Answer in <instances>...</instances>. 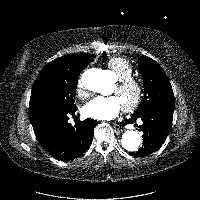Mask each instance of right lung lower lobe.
Listing matches in <instances>:
<instances>
[{"mask_svg":"<svg viewBox=\"0 0 200 200\" xmlns=\"http://www.w3.org/2000/svg\"><path fill=\"white\" fill-rule=\"evenodd\" d=\"M77 108L29 113L36 138L56 159L69 161L81 156L91 145L96 121L86 119L72 126L68 120Z\"/></svg>","mask_w":200,"mask_h":200,"instance_id":"1","label":"right lung lower lobe"}]
</instances>
